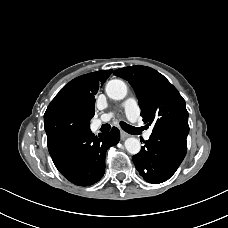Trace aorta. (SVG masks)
<instances>
[{
  "label": "aorta",
  "instance_id": "obj_1",
  "mask_svg": "<svg viewBox=\"0 0 228 228\" xmlns=\"http://www.w3.org/2000/svg\"><path fill=\"white\" fill-rule=\"evenodd\" d=\"M106 94L109 98L114 100H122L127 95V86L122 80L114 79L110 80L106 85ZM126 150L132 154L136 155L141 150V143L137 138L130 137L125 140Z\"/></svg>",
  "mask_w": 228,
  "mask_h": 228
}]
</instances>
